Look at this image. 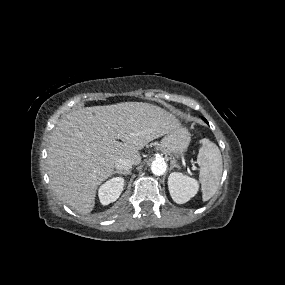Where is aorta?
Returning a JSON list of instances; mask_svg holds the SVG:
<instances>
[{
	"instance_id": "aorta-1",
	"label": "aorta",
	"mask_w": 285,
	"mask_h": 285,
	"mask_svg": "<svg viewBox=\"0 0 285 285\" xmlns=\"http://www.w3.org/2000/svg\"><path fill=\"white\" fill-rule=\"evenodd\" d=\"M167 165L164 160L156 159L151 164V171L154 175L160 176L166 172Z\"/></svg>"
}]
</instances>
